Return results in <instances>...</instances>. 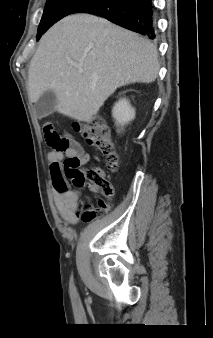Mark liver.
I'll return each mask as SVG.
<instances>
[{
  "label": "liver",
  "mask_w": 213,
  "mask_h": 338,
  "mask_svg": "<svg viewBox=\"0 0 213 338\" xmlns=\"http://www.w3.org/2000/svg\"><path fill=\"white\" fill-rule=\"evenodd\" d=\"M159 69L149 40L103 18L70 15L41 38L29 66V97L34 103L52 90L59 113L88 122L117 88L151 83Z\"/></svg>",
  "instance_id": "6515ba94"
}]
</instances>
